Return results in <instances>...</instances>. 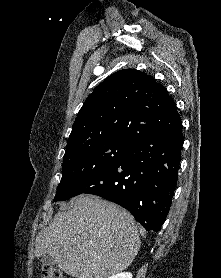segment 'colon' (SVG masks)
Here are the masks:
<instances>
[{"mask_svg": "<svg viewBox=\"0 0 221 278\" xmlns=\"http://www.w3.org/2000/svg\"><path fill=\"white\" fill-rule=\"evenodd\" d=\"M41 273L42 278H65L60 270L47 265L41 267Z\"/></svg>", "mask_w": 221, "mask_h": 278, "instance_id": "obj_1", "label": "colon"}]
</instances>
